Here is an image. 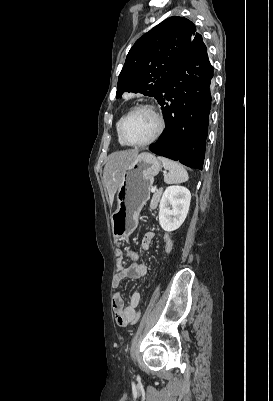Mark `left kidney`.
Wrapping results in <instances>:
<instances>
[{
  "instance_id": "5707ae66",
  "label": "left kidney",
  "mask_w": 273,
  "mask_h": 401,
  "mask_svg": "<svg viewBox=\"0 0 273 401\" xmlns=\"http://www.w3.org/2000/svg\"><path fill=\"white\" fill-rule=\"evenodd\" d=\"M190 201V190L185 186L165 188L159 205V223L164 231L171 233L181 227L188 215Z\"/></svg>"
}]
</instances>
